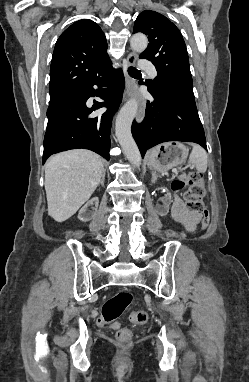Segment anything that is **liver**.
<instances>
[{
    "label": "liver",
    "instance_id": "6515ba94",
    "mask_svg": "<svg viewBox=\"0 0 249 382\" xmlns=\"http://www.w3.org/2000/svg\"><path fill=\"white\" fill-rule=\"evenodd\" d=\"M104 173L96 153L75 149L50 157L45 166L48 214L57 222L72 217L91 197Z\"/></svg>",
    "mask_w": 249,
    "mask_h": 382
}]
</instances>
